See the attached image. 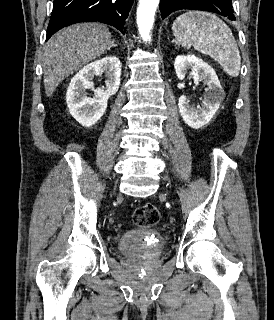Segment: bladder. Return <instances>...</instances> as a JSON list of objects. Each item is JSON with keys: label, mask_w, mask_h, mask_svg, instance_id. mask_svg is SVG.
<instances>
[{"label": "bladder", "mask_w": 274, "mask_h": 320, "mask_svg": "<svg viewBox=\"0 0 274 320\" xmlns=\"http://www.w3.org/2000/svg\"><path fill=\"white\" fill-rule=\"evenodd\" d=\"M163 248L162 233L149 227L129 229L118 241V250L124 256L133 258L157 257L162 253Z\"/></svg>", "instance_id": "bladder-1"}]
</instances>
